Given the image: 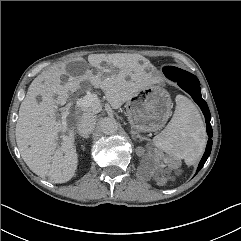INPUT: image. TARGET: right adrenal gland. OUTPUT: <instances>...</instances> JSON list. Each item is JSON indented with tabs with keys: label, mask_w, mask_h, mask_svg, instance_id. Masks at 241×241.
Here are the masks:
<instances>
[{
	"label": "right adrenal gland",
	"mask_w": 241,
	"mask_h": 241,
	"mask_svg": "<svg viewBox=\"0 0 241 241\" xmlns=\"http://www.w3.org/2000/svg\"><path fill=\"white\" fill-rule=\"evenodd\" d=\"M80 137L84 138V139H88L89 135H83V134H79Z\"/></svg>",
	"instance_id": "obj_1"
}]
</instances>
